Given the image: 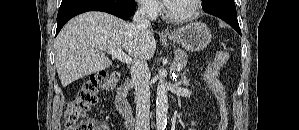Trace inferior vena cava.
Masks as SVG:
<instances>
[{"mask_svg":"<svg viewBox=\"0 0 299 130\" xmlns=\"http://www.w3.org/2000/svg\"><path fill=\"white\" fill-rule=\"evenodd\" d=\"M147 7L141 5L135 12L133 22L140 29H148L150 20L146 17ZM131 78L136 95V124L135 130H150V72L148 64L143 59H135L131 66Z\"/></svg>","mask_w":299,"mask_h":130,"instance_id":"inferior-vena-cava-1","label":"inferior vena cava"}]
</instances>
